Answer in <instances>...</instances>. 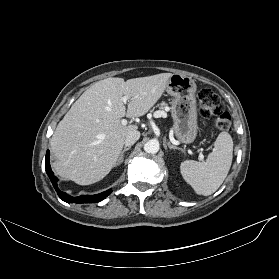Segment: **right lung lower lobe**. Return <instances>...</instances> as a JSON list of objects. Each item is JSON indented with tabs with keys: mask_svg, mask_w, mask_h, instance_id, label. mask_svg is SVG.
Returning <instances> with one entry per match:
<instances>
[{
	"mask_svg": "<svg viewBox=\"0 0 279 279\" xmlns=\"http://www.w3.org/2000/svg\"><path fill=\"white\" fill-rule=\"evenodd\" d=\"M45 168L46 172L55 188L57 191L58 196L65 202L69 203H96L102 201L104 198H106L112 190H107L105 192L96 194V195H84V196H78V197H72L65 192H62L58 186H57V177L54 176L51 167H50V161H49V151L46 153V160H45Z\"/></svg>",
	"mask_w": 279,
	"mask_h": 279,
	"instance_id": "98d812e1",
	"label": "right lung lower lobe"
}]
</instances>
